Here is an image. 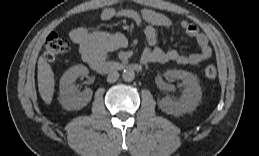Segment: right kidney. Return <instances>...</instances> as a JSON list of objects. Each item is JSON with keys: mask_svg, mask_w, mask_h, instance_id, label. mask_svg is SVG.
Instances as JSON below:
<instances>
[{"mask_svg": "<svg viewBox=\"0 0 259 156\" xmlns=\"http://www.w3.org/2000/svg\"><path fill=\"white\" fill-rule=\"evenodd\" d=\"M88 69L83 65L69 68L60 79V103L66 110H79L85 107L92 98L91 89L76 92L74 82L80 76L87 77Z\"/></svg>", "mask_w": 259, "mask_h": 156, "instance_id": "right-kidney-1", "label": "right kidney"}]
</instances>
